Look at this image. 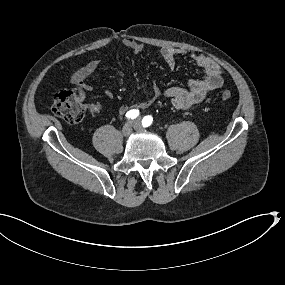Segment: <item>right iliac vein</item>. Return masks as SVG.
<instances>
[{
  "label": "right iliac vein",
  "mask_w": 285,
  "mask_h": 285,
  "mask_svg": "<svg viewBox=\"0 0 285 285\" xmlns=\"http://www.w3.org/2000/svg\"><path fill=\"white\" fill-rule=\"evenodd\" d=\"M134 128V124L133 122H128L126 123L123 128H122V134L125 136V137H129L132 133V130Z\"/></svg>",
  "instance_id": "1"
}]
</instances>
